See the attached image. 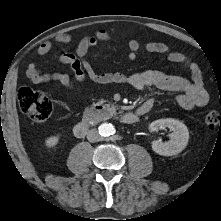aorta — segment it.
Returning a JSON list of instances; mask_svg holds the SVG:
<instances>
[{"label":"aorta","mask_w":221,"mask_h":221,"mask_svg":"<svg viewBox=\"0 0 221 221\" xmlns=\"http://www.w3.org/2000/svg\"><path fill=\"white\" fill-rule=\"evenodd\" d=\"M114 131L112 124L104 123L100 125L99 132L102 136H110Z\"/></svg>","instance_id":"762f6f07"}]
</instances>
